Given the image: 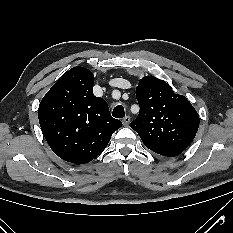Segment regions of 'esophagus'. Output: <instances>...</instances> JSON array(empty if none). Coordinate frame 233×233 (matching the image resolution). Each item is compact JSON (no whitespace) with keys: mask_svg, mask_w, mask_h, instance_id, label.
<instances>
[{"mask_svg":"<svg viewBox=\"0 0 233 233\" xmlns=\"http://www.w3.org/2000/svg\"><path fill=\"white\" fill-rule=\"evenodd\" d=\"M122 122H123V125H124V126H128L129 123H130V117H129V116H125V117L123 118Z\"/></svg>","mask_w":233,"mask_h":233,"instance_id":"obj_1","label":"esophagus"}]
</instances>
